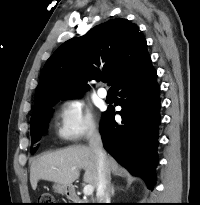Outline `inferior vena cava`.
<instances>
[{"mask_svg": "<svg viewBox=\"0 0 200 205\" xmlns=\"http://www.w3.org/2000/svg\"><path fill=\"white\" fill-rule=\"evenodd\" d=\"M89 146L97 158L98 184L96 196L98 203H110V169L106 153L103 150L100 133L96 129H93L89 135Z\"/></svg>", "mask_w": 200, "mask_h": 205, "instance_id": "602c4592", "label": "inferior vena cava"}]
</instances>
